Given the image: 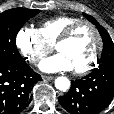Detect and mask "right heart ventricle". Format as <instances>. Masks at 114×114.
<instances>
[{
	"label": "right heart ventricle",
	"mask_w": 114,
	"mask_h": 114,
	"mask_svg": "<svg viewBox=\"0 0 114 114\" xmlns=\"http://www.w3.org/2000/svg\"><path fill=\"white\" fill-rule=\"evenodd\" d=\"M79 20L81 19L75 16H56L42 22L38 31L47 43L53 45L68 26Z\"/></svg>",
	"instance_id": "1"
}]
</instances>
